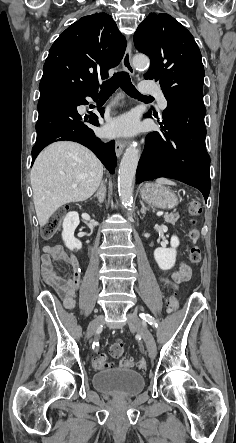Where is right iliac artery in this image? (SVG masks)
Listing matches in <instances>:
<instances>
[{
	"mask_svg": "<svg viewBox=\"0 0 236 443\" xmlns=\"http://www.w3.org/2000/svg\"><path fill=\"white\" fill-rule=\"evenodd\" d=\"M97 347H98V343L94 342L93 343V349L97 350Z\"/></svg>",
	"mask_w": 236,
	"mask_h": 443,
	"instance_id": "1",
	"label": "right iliac artery"
}]
</instances>
